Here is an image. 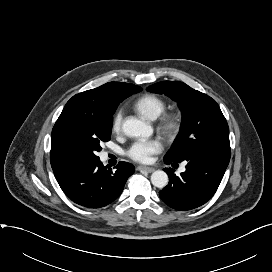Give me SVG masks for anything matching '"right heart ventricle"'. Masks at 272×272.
I'll use <instances>...</instances> for the list:
<instances>
[{"label": "right heart ventricle", "mask_w": 272, "mask_h": 272, "mask_svg": "<svg viewBox=\"0 0 272 272\" xmlns=\"http://www.w3.org/2000/svg\"><path fill=\"white\" fill-rule=\"evenodd\" d=\"M135 110L149 120L157 119L165 110V101L153 94L140 97L135 102Z\"/></svg>", "instance_id": "1"}]
</instances>
